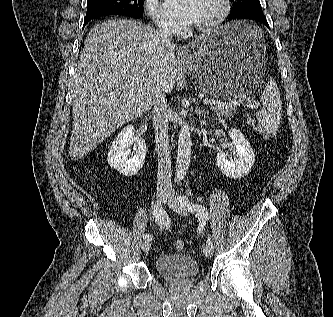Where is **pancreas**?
<instances>
[{
	"mask_svg": "<svg viewBox=\"0 0 333 317\" xmlns=\"http://www.w3.org/2000/svg\"><path fill=\"white\" fill-rule=\"evenodd\" d=\"M210 108L215 111L217 114L230 117L232 113L235 111L236 106L230 105L229 103L221 102V104H212Z\"/></svg>",
	"mask_w": 333,
	"mask_h": 317,
	"instance_id": "1",
	"label": "pancreas"
}]
</instances>
